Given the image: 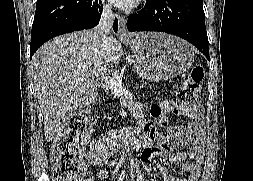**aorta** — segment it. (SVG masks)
<instances>
[{"mask_svg": "<svg viewBox=\"0 0 253 181\" xmlns=\"http://www.w3.org/2000/svg\"><path fill=\"white\" fill-rule=\"evenodd\" d=\"M122 155H123V156H125L126 154H125V153H123Z\"/></svg>", "mask_w": 253, "mask_h": 181, "instance_id": "aorta-1", "label": "aorta"}]
</instances>
